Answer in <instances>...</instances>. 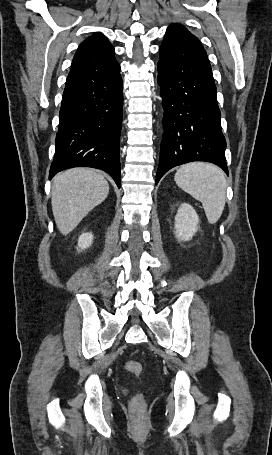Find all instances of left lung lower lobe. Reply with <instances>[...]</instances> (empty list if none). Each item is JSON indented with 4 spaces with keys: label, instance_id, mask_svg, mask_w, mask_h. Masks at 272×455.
<instances>
[{
    "label": "left lung lower lobe",
    "instance_id": "obj_1",
    "mask_svg": "<svg viewBox=\"0 0 272 455\" xmlns=\"http://www.w3.org/2000/svg\"><path fill=\"white\" fill-rule=\"evenodd\" d=\"M158 83L164 108V139L156 184L171 168L206 161L228 175L226 140L222 134L211 66L158 62Z\"/></svg>",
    "mask_w": 272,
    "mask_h": 455
}]
</instances>
